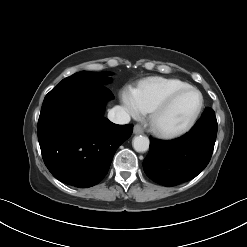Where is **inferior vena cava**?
<instances>
[{
	"instance_id": "inferior-vena-cava-1",
	"label": "inferior vena cava",
	"mask_w": 247,
	"mask_h": 247,
	"mask_svg": "<svg viewBox=\"0 0 247 247\" xmlns=\"http://www.w3.org/2000/svg\"><path fill=\"white\" fill-rule=\"evenodd\" d=\"M108 119L116 124H127L130 122V115L125 108L115 106L109 111Z\"/></svg>"
}]
</instances>
